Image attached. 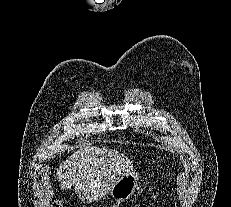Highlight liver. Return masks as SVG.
I'll return each mask as SVG.
<instances>
[{
  "label": "liver",
  "instance_id": "obj_1",
  "mask_svg": "<svg viewBox=\"0 0 231 207\" xmlns=\"http://www.w3.org/2000/svg\"><path fill=\"white\" fill-rule=\"evenodd\" d=\"M132 169L130 160L118 151L92 146L75 151L56 175L61 189L74 187L80 200L92 202L102 199Z\"/></svg>",
  "mask_w": 231,
  "mask_h": 207
}]
</instances>
